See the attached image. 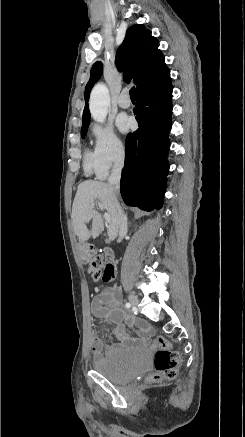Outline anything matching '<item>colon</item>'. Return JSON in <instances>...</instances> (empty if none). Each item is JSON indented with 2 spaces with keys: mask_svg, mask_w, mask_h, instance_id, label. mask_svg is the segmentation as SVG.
<instances>
[{
  "mask_svg": "<svg viewBox=\"0 0 245 437\" xmlns=\"http://www.w3.org/2000/svg\"><path fill=\"white\" fill-rule=\"evenodd\" d=\"M81 259L93 280L110 282L114 279L115 268L113 264L106 261L93 246H82ZM154 346L156 348L154 372L149 376V381L160 382L173 379L181 363L180 355L170 349L168 341L162 335L156 338Z\"/></svg>",
  "mask_w": 245,
  "mask_h": 437,
  "instance_id": "1",
  "label": "colon"
}]
</instances>
